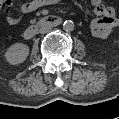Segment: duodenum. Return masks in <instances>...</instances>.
<instances>
[{"label": "duodenum", "mask_w": 119, "mask_h": 119, "mask_svg": "<svg viewBox=\"0 0 119 119\" xmlns=\"http://www.w3.org/2000/svg\"><path fill=\"white\" fill-rule=\"evenodd\" d=\"M62 22V19L58 16H46L41 18L35 23H32L28 26L24 32L23 37L26 40L33 38L39 31L40 28L43 27H55L58 26Z\"/></svg>", "instance_id": "1"}]
</instances>
